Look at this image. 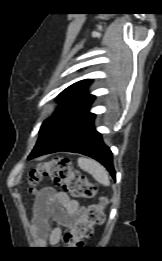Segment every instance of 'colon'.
<instances>
[{
	"instance_id": "obj_1",
	"label": "colon",
	"mask_w": 162,
	"mask_h": 261,
	"mask_svg": "<svg viewBox=\"0 0 162 261\" xmlns=\"http://www.w3.org/2000/svg\"><path fill=\"white\" fill-rule=\"evenodd\" d=\"M43 177H49L56 185L76 198H91L96 195V186L80 171L75 170L71 160L66 157H55L43 162L31 170L29 182L36 186ZM106 198L99 204L89 205L77 219L69 240L76 247H82L85 240L92 237L93 226L104 221L103 206Z\"/></svg>"
}]
</instances>
